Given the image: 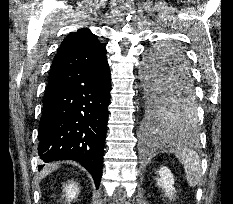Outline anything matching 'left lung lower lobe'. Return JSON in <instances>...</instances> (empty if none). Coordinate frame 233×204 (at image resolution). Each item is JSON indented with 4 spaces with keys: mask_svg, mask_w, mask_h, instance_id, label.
<instances>
[{
    "mask_svg": "<svg viewBox=\"0 0 233 204\" xmlns=\"http://www.w3.org/2000/svg\"><path fill=\"white\" fill-rule=\"evenodd\" d=\"M194 87L191 82V72L189 69V65L184 60H179L176 62V69L168 81L163 85L161 94L166 93L167 96L173 100L176 95L193 90ZM163 96V95H162ZM165 99V96L162 97ZM159 119L155 121L147 120V133L148 139L151 140L155 136V134H166L171 131H167L162 129L159 126Z\"/></svg>",
    "mask_w": 233,
    "mask_h": 204,
    "instance_id": "left-lung-lower-lobe-1",
    "label": "left lung lower lobe"
}]
</instances>
